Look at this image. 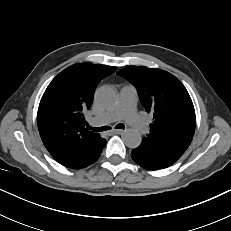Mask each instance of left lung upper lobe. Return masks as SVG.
<instances>
[{"mask_svg": "<svg viewBox=\"0 0 231 231\" xmlns=\"http://www.w3.org/2000/svg\"><path fill=\"white\" fill-rule=\"evenodd\" d=\"M136 88L142 105L154 116L147 137L186 151L195 132V110L184 85L167 71L130 66L117 72Z\"/></svg>", "mask_w": 231, "mask_h": 231, "instance_id": "1", "label": "left lung upper lobe"}]
</instances>
